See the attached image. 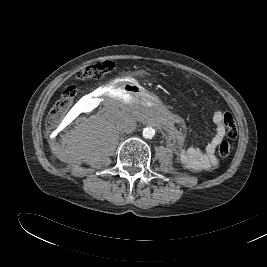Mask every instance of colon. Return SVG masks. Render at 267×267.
<instances>
[{
    "instance_id": "obj_1",
    "label": "colon",
    "mask_w": 267,
    "mask_h": 267,
    "mask_svg": "<svg viewBox=\"0 0 267 267\" xmlns=\"http://www.w3.org/2000/svg\"><path fill=\"white\" fill-rule=\"evenodd\" d=\"M112 69L109 61L100 62L94 65L85 66L77 72V78L82 80L97 79L109 72ZM77 95L75 86L67 87L51 108L47 116V124L50 127L56 126L65 116L69 108L72 106ZM225 125L227 128V135L229 138H234L237 134L235 121L231 114L226 113ZM231 152V145L227 140L220 142L218 146V153L221 157H227Z\"/></svg>"
}]
</instances>
